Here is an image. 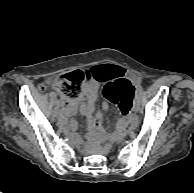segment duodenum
<instances>
[{
	"label": "duodenum",
	"instance_id": "1",
	"mask_svg": "<svg viewBox=\"0 0 194 193\" xmlns=\"http://www.w3.org/2000/svg\"><path fill=\"white\" fill-rule=\"evenodd\" d=\"M98 139H99L98 136H93V137H92V141H93V142H94V141H98Z\"/></svg>",
	"mask_w": 194,
	"mask_h": 193
}]
</instances>
